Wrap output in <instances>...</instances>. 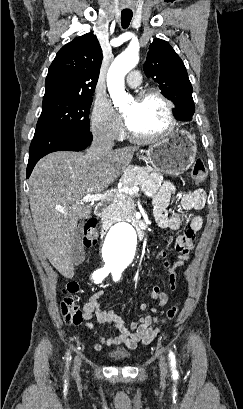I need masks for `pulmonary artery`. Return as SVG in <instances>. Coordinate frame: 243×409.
<instances>
[{
    "instance_id": "1",
    "label": "pulmonary artery",
    "mask_w": 243,
    "mask_h": 409,
    "mask_svg": "<svg viewBox=\"0 0 243 409\" xmlns=\"http://www.w3.org/2000/svg\"><path fill=\"white\" fill-rule=\"evenodd\" d=\"M126 80L130 87H138L141 83V74L139 71H131Z\"/></svg>"
}]
</instances>
